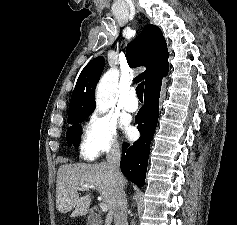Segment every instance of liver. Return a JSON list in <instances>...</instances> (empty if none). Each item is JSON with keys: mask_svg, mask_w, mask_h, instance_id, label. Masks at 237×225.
I'll use <instances>...</instances> for the list:
<instances>
[{"mask_svg": "<svg viewBox=\"0 0 237 225\" xmlns=\"http://www.w3.org/2000/svg\"><path fill=\"white\" fill-rule=\"evenodd\" d=\"M126 184V180H125ZM82 185L96 189L108 207L105 225H111L116 203L115 180L107 163L63 164L59 167L56 181V208L61 213L73 210L71 217L85 216L91 205V195L79 196Z\"/></svg>", "mask_w": 237, "mask_h": 225, "instance_id": "obj_1", "label": "liver"}]
</instances>
